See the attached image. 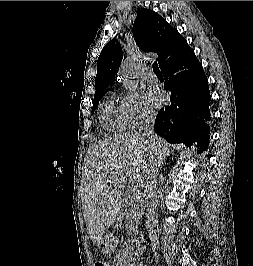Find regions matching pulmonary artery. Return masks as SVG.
<instances>
[{
    "instance_id": "1",
    "label": "pulmonary artery",
    "mask_w": 253,
    "mask_h": 266,
    "mask_svg": "<svg viewBox=\"0 0 253 266\" xmlns=\"http://www.w3.org/2000/svg\"><path fill=\"white\" fill-rule=\"evenodd\" d=\"M144 75L146 77V79L148 81H151V82H157L158 79H157V76L156 74L153 72L152 68L151 67H147L144 71Z\"/></svg>"
}]
</instances>
